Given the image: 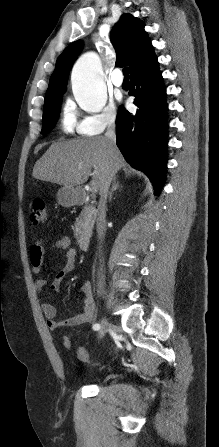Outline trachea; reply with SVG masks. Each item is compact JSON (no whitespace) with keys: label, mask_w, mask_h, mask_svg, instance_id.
<instances>
[{"label":"trachea","mask_w":219,"mask_h":447,"mask_svg":"<svg viewBox=\"0 0 219 447\" xmlns=\"http://www.w3.org/2000/svg\"><path fill=\"white\" fill-rule=\"evenodd\" d=\"M123 75L125 76V78H129V68L128 67L123 68Z\"/></svg>","instance_id":"trachea-1"}]
</instances>
